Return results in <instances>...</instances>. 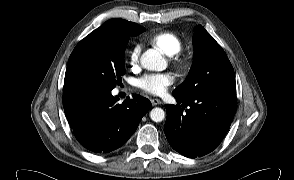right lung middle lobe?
Here are the masks:
<instances>
[{
    "mask_svg": "<svg viewBox=\"0 0 294 180\" xmlns=\"http://www.w3.org/2000/svg\"><path fill=\"white\" fill-rule=\"evenodd\" d=\"M130 36L101 33L82 39L68 60L63 93L88 88L112 90L125 74L124 52Z\"/></svg>",
    "mask_w": 294,
    "mask_h": 180,
    "instance_id": "dd1d6c3e",
    "label": "right lung middle lobe"
}]
</instances>
